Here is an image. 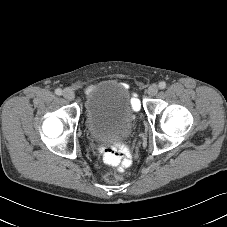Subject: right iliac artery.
<instances>
[{
	"label": "right iliac artery",
	"instance_id": "right-iliac-artery-1",
	"mask_svg": "<svg viewBox=\"0 0 227 227\" xmlns=\"http://www.w3.org/2000/svg\"><path fill=\"white\" fill-rule=\"evenodd\" d=\"M56 95L60 96L62 95V90L60 88L55 90Z\"/></svg>",
	"mask_w": 227,
	"mask_h": 227
}]
</instances>
